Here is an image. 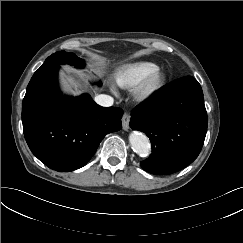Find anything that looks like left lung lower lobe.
Instances as JSON below:
<instances>
[{"mask_svg": "<svg viewBox=\"0 0 243 243\" xmlns=\"http://www.w3.org/2000/svg\"><path fill=\"white\" fill-rule=\"evenodd\" d=\"M130 127L143 131L152 154L141 162L152 174L175 173L199 155L207 132V112L200 84L193 77L174 81L135 107Z\"/></svg>", "mask_w": 243, "mask_h": 243, "instance_id": "left-lung-lower-lobe-1", "label": "left lung lower lobe"}]
</instances>
